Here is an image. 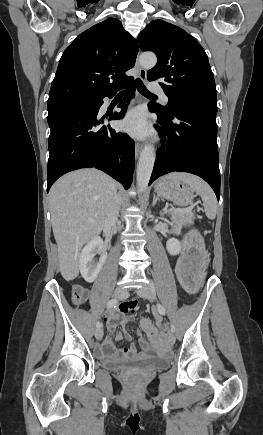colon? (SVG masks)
<instances>
[{"label":"colon","instance_id":"1","mask_svg":"<svg viewBox=\"0 0 263 435\" xmlns=\"http://www.w3.org/2000/svg\"><path fill=\"white\" fill-rule=\"evenodd\" d=\"M86 295H87V292L83 287H81L79 285L74 286L72 297H73V301L76 304L82 303L85 300ZM170 327H171L170 324H162L163 335H168V333H169L168 330L170 329ZM150 341H151V339H150ZM160 341L162 343V339ZM130 379L134 380L135 377L132 376V377H130Z\"/></svg>","mask_w":263,"mask_h":435}]
</instances>
